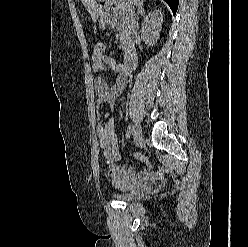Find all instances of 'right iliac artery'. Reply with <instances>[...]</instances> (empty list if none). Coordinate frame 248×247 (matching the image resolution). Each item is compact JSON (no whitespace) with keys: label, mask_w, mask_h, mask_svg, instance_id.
Masks as SVG:
<instances>
[{"label":"right iliac artery","mask_w":248,"mask_h":247,"mask_svg":"<svg viewBox=\"0 0 248 247\" xmlns=\"http://www.w3.org/2000/svg\"><path fill=\"white\" fill-rule=\"evenodd\" d=\"M132 134V129L131 126L128 125L127 130H126V138L129 139Z\"/></svg>","instance_id":"right-iliac-artery-1"}]
</instances>
